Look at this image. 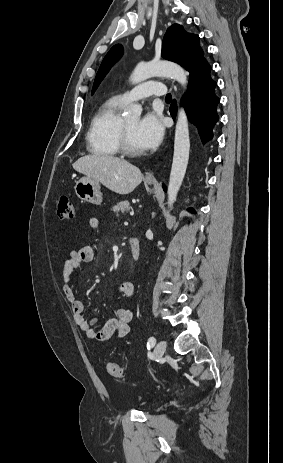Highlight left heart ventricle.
I'll return each instance as SVG.
<instances>
[{
    "label": "left heart ventricle",
    "instance_id": "left-heart-ventricle-1",
    "mask_svg": "<svg viewBox=\"0 0 283 463\" xmlns=\"http://www.w3.org/2000/svg\"><path fill=\"white\" fill-rule=\"evenodd\" d=\"M125 125H126V129H127V132H128V137H129V141H130V144L131 146L135 149V150H139L141 151L142 149L140 148V146L138 145L136 139H135V128H136V125L138 123V119H129V120H125Z\"/></svg>",
    "mask_w": 283,
    "mask_h": 463
}]
</instances>
